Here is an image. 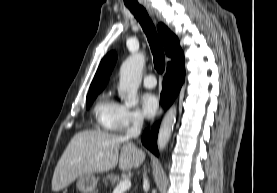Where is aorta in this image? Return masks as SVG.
<instances>
[{
	"instance_id": "762f6f07",
	"label": "aorta",
	"mask_w": 277,
	"mask_h": 193,
	"mask_svg": "<svg viewBox=\"0 0 277 193\" xmlns=\"http://www.w3.org/2000/svg\"><path fill=\"white\" fill-rule=\"evenodd\" d=\"M145 65V55L136 53L129 56L121 65L120 81L118 87L119 96L124 98L128 107L138 104L137 91L142 79V71ZM176 120V107L172 106L165 114L158 133L157 145L163 150L171 136Z\"/></svg>"
}]
</instances>
